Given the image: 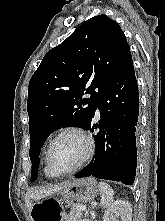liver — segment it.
Returning a JSON list of instances; mask_svg holds the SVG:
<instances>
[{"label":"liver","mask_w":165,"mask_h":221,"mask_svg":"<svg viewBox=\"0 0 165 221\" xmlns=\"http://www.w3.org/2000/svg\"><path fill=\"white\" fill-rule=\"evenodd\" d=\"M65 184L66 183L60 186L50 187V188H46L42 190H30L26 195V199L29 200V198H32V197L42 198V197L51 195L53 193L59 192L60 190H62ZM29 208L30 210L32 209V205L30 203H29Z\"/></svg>","instance_id":"6515ba94"}]
</instances>
